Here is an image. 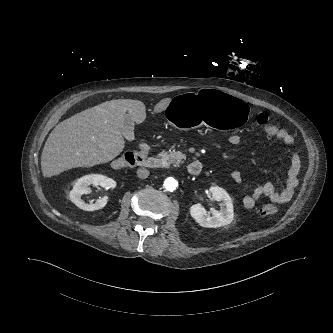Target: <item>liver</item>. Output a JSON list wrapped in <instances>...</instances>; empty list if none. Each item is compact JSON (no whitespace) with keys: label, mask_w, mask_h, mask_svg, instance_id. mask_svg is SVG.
<instances>
[{"label":"liver","mask_w":333,"mask_h":333,"mask_svg":"<svg viewBox=\"0 0 333 333\" xmlns=\"http://www.w3.org/2000/svg\"><path fill=\"white\" fill-rule=\"evenodd\" d=\"M171 98L154 106V112L164 111ZM126 115L140 124L146 119L142 101L116 99L103 102L60 122L50 133L41 156L44 177L59 175L75 167H92L107 163L124 149L121 133Z\"/></svg>","instance_id":"6515ba94"}]
</instances>
